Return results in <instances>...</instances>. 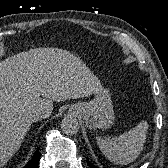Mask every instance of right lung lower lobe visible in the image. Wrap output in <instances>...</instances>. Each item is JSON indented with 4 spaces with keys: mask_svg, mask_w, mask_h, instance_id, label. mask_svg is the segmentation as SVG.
Wrapping results in <instances>:
<instances>
[{
    "mask_svg": "<svg viewBox=\"0 0 168 168\" xmlns=\"http://www.w3.org/2000/svg\"><path fill=\"white\" fill-rule=\"evenodd\" d=\"M39 160H40V153L39 151L37 150L31 161L24 167V168H37L38 167V163H39Z\"/></svg>",
    "mask_w": 168,
    "mask_h": 168,
    "instance_id": "obj_1",
    "label": "right lung lower lobe"
}]
</instances>
